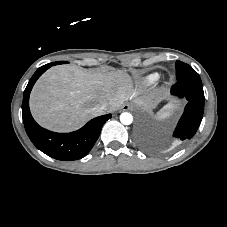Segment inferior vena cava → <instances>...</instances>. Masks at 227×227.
I'll use <instances>...</instances> for the list:
<instances>
[{
  "label": "inferior vena cava",
  "instance_id": "1",
  "mask_svg": "<svg viewBox=\"0 0 227 227\" xmlns=\"http://www.w3.org/2000/svg\"><path fill=\"white\" fill-rule=\"evenodd\" d=\"M108 109V104L106 102H101L92 107V112L94 115H101L105 113Z\"/></svg>",
  "mask_w": 227,
  "mask_h": 227
}]
</instances>
